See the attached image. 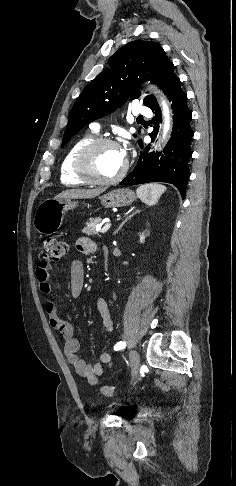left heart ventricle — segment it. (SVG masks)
<instances>
[{"label": "left heart ventricle", "instance_id": "1", "mask_svg": "<svg viewBox=\"0 0 236 486\" xmlns=\"http://www.w3.org/2000/svg\"><path fill=\"white\" fill-rule=\"evenodd\" d=\"M125 157L120 148L115 146H101L92 155L91 167L93 172L101 178L116 176L123 168Z\"/></svg>", "mask_w": 236, "mask_h": 486}]
</instances>
